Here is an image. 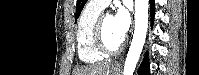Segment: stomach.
I'll list each match as a JSON object with an SVG mask.
<instances>
[{"mask_svg":"<svg viewBox=\"0 0 199 75\" xmlns=\"http://www.w3.org/2000/svg\"><path fill=\"white\" fill-rule=\"evenodd\" d=\"M110 75H119V71L117 68H111Z\"/></svg>","mask_w":199,"mask_h":75,"instance_id":"obj_1","label":"stomach"}]
</instances>
